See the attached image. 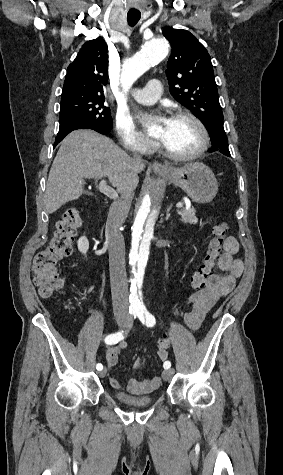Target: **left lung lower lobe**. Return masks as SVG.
<instances>
[{
  "instance_id": "0a47b994",
  "label": "left lung lower lobe",
  "mask_w": 283,
  "mask_h": 475,
  "mask_svg": "<svg viewBox=\"0 0 283 475\" xmlns=\"http://www.w3.org/2000/svg\"><path fill=\"white\" fill-rule=\"evenodd\" d=\"M212 147L209 152H218L230 157L228 149V139L224 130H217L209 132Z\"/></svg>"
}]
</instances>
